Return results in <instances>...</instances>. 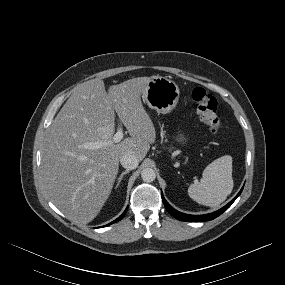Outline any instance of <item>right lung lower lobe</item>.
Returning <instances> with one entry per match:
<instances>
[{
    "instance_id": "right-lung-lower-lobe-1",
    "label": "right lung lower lobe",
    "mask_w": 285,
    "mask_h": 285,
    "mask_svg": "<svg viewBox=\"0 0 285 285\" xmlns=\"http://www.w3.org/2000/svg\"><path fill=\"white\" fill-rule=\"evenodd\" d=\"M126 211H127V209L122 213V215H121L119 218H117V219H116V220H114L113 222H111V223L107 224L106 226L111 225V224H113V223H115V222H117V221L121 220V219L125 216Z\"/></svg>"
}]
</instances>
